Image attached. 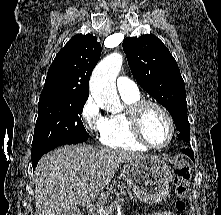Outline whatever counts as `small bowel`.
Returning a JSON list of instances; mask_svg holds the SVG:
<instances>
[{"instance_id":"obj_1","label":"small bowel","mask_w":221,"mask_h":215,"mask_svg":"<svg viewBox=\"0 0 221 215\" xmlns=\"http://www.w3.org/2000/svg\"><path fill=\"white\" fill-rule=\"evenodd\" d=\"M150 215H176V214L173 211H163V212L152 213Z\"/></svg>"}]
</instances>
